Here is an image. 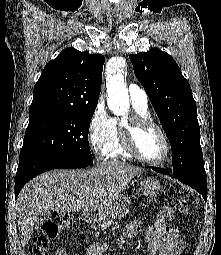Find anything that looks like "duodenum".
I'll return each mask as SVG.
<instances>
[{"mask_svg":"<svg viewBox=\"0 0 221 255\" xmlns=\"http://www.w3.org/2000/svg\"><path fill=\"white\" fill-rule=\"evenodd\" d=\"M83 219L84 220H92V219H94V216L90 213H84L83 214Z\"/></svg>","mask_w":221,"mask_h":255,"instance_id":"1","label":"duodenum"}]
</instances>
